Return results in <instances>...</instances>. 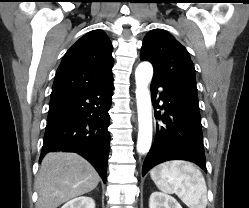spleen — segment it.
I'll return each mask as SVG.
<instances>
[{"instance_id": "obj_1", "label": "spleen", "mask_w": 249, "mask_h": 208, "mask_svg": "<svg viewBox=\"0 0 249 208\" xmlns=\"http://www.w3.org/2000/svg\"><path fill=\"white\" fill-rule=\"evenodd\" d=\"M150 176L158 189L176 194L189 208H206V182L192 163L181 160L165 162L153 168Z\"/></svg>"}]
</instances>
